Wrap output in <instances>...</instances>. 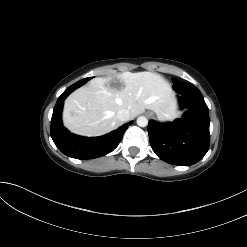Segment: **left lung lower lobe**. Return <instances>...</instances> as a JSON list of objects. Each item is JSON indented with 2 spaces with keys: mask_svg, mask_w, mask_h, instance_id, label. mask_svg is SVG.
<instances>
[{
  "mask_svg": "<svg viewBox=\"0 0 247 247\" xmlns=\"http://www.w3.org/2000/svg\"><path fill=\"white\" fill-rule=\"evenodd\" d=\"M180 95L181 119L169 123L150 120L148 134L155 154L170 164L189 166L201 160L209 149L208 107L197 87L172 79Z\"/></svg>",
  "mask_w": 247,
  "mask_h": 247,
  "instance_id": "0a47b994",
  "label": "left lung lower lobe"
}]
</instances>
